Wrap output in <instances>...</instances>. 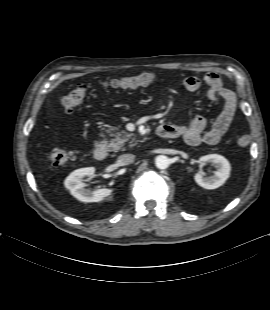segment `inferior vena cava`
<instances>
[{
	"label": "inferior vena cava",
	"mask_w": 270,
	"mask_h": 310,
	"mask_svg": "<svg viewBox=\"0 0 270 310\" xmlns=\"http://www.w3.org/2000/svg\"><path fill=\"white\" fill-rule=\"evenodd\" d=\"M135 156L133 154H122L118 158V162L120 165H128L134 161Z\"/></svg>",
	"instance_id": "inferior-vena-cava-1"
}]
</instances>
